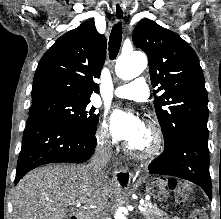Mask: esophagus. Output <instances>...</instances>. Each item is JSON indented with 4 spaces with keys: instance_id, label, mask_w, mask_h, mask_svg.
<instances>
[{
    "instance_id": "1",
    "label": "esophagus",
    "mask_w": 221,
    "mask_h": 219,
    "mask_svg": "<svg viewBox=\"0 0 221 219\" xmlns=\"http://www.w3.org/2000/svg\"><path fill=\"white\" fill-rule=\"evenodd\" d=\"M114 9V19L116 22H120L123 21L124 17H125V11L124 8L122 6V4L120 3H115L113 6Z\"/></svg>"
}]
</instances>
